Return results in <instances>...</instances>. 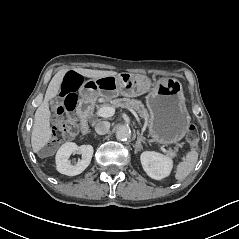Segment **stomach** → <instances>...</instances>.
<instances>
[{"instance_id": "obj_1", "label": "stomach", "mask_w": 239, "mask_h": 239, "mask_svg": "<svg viewBox=\"0 0 239 239\" xmlns=\"http://www.w3.org/2000/svg\"><path fill=\"white\" fill-rule=\"evenodd\" d=\"M145 97L149 111L148 135L157 146L179 143L187 134L191 116L186 107L182 83L174 77H163L156 83L143 74L119 73L85 81L79 88L82 101L95 102L98 97L106 99L119 95Z\"/></svg>"}]
</instances>
